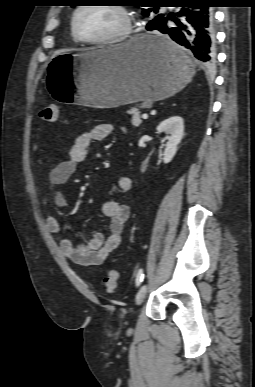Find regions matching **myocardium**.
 I'll return each instance as SVG.
<instances>
[{
	"instance_id": "myocardium-1",
	"label": "myocardium",
	"mask_w": 255,
	"mask_h": 387,
	"mask_svg": "<svg viewBox=\"0 0 255 387\" xmlns=\"http://www.w3.org/2000/svg\"><path fill=\"white\" fill-rule=\"evenodd\" d=\"M87 7H90V5L85 4L77 7L74 10L72 19H71L72 34L79 42H82L84 44H89V45H108V44L120 43L125 41L127 38H129L133 30V21H134L133 15L127 7L119 4L107 5V7H111L115 9L123 18V25L116 33L109 35L107 37L97 38V39H89L81 35L77 27V17L79 13Z\"/></svg>"
}]
</instances>
